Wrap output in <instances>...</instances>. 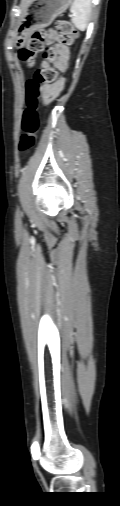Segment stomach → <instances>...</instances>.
Masks as SVG:
<instances>
[{"instance_id": "stomach-1", "label": "stomach", "mask_w": 120, "mask_h": 506, "mask_svg": "<svg viewBox=\"0 0 120 506\" xmlns=\"http://www.w3.org/2000/svg\"><path fill=\"white\" fill-rule=\"evenodd\" d=\"M71 3L72 0H33L14 32L15 47H24L34 29L48 26L58 15L66 11Z\"/></svg>"}]
</instances>
